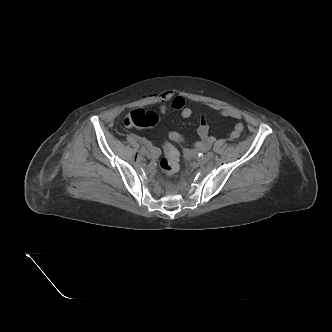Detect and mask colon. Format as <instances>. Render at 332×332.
<instances>
[{"mask_svg":"<svg viewBox=\"0 0 332 332\" xmlns=\"http://www.w3.org/2000/svg\"><path fill=\"white\" fill-rule=\"evenodd\" d=\"M158 121V116L154 112L136 109L131 111L125 118V124L133 127H151ZM179 151L177 148L166 143L164 145V157L160 160V168L167 174H174L179 170Z\"/></svg>","mask_w":332,"mask_h":332,"instance_id":"obj_1","label":"colon"}]
</instances>
